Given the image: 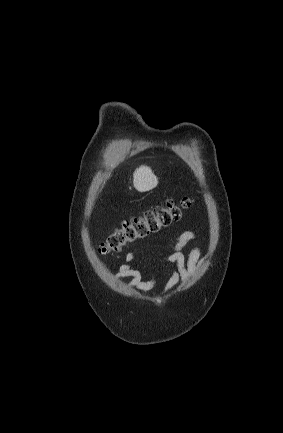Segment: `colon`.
Segmentation results:
<instances>
[{
	"label": "colon",
	"mask_w": 283,
	"mask_h": 433,
	"mask_svg": "<svg viewBox=\"0 0 283 433\" xmlns=\"http://www.w3.org/2000/svg\"><path fill=\"white\" fill-rule=\"evenodd\" d=\"M192 204L193 199L189 197H183L179 201L170 199L165 205L152 208L143 215L126 219L107 235L99 252L114 256L138 240L161 232L177 222L183 210Z\"/></svg>",
	"instance_id": "colon-1"
}]
</instances>
